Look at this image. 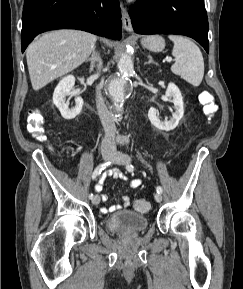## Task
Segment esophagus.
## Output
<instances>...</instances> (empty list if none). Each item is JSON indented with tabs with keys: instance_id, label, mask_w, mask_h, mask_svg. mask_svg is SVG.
<instances>
[{
	"instance_id": "34e87169",
	"label": "esophagus",
	"mask_w": 243,
	"mask_h": 289,
	"mask_svg": "<svg viewBox=\"0 0 243 289\" xmlns=\"http://www.w3.org/2000/svg\"><path fill=\"white\" fill-rule=\"evenodd\" d=\"M121 13H122V24H123V28L127 31V32H132L133 31V27L131 24V20L128 14V11L126 9V7L121 3Z\"/></svg>"
}]
</instances>
